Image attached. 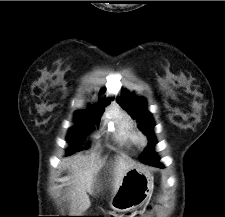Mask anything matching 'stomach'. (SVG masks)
<instances>
[{
    "instance_id": "1",
    "label": "stomach",
    "mask_w": 225,
    "mask_h": 217,
    "mask_svg": "<svg viewBox=\"0 0 225 217\" xmlns=\"http://www.w3.org/2000/svg\"><path fill=\"white\" fill-rule=\"evenodd\" d=\"M149 176L143 168H130L122 179L120 188H135L138 186H148Z\"/></svg>"
}]
</instances>
